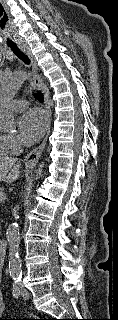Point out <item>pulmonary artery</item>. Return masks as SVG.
I'll return each instance as SVG.
<instances>
[{
	"label": "pulmonary artery",
	"mask_w": 118,
	"mask_h": 320,
	"mask_svg": "<svg viewBox=\"0 0 118 320\" xmlns=\"http://www.w3.org/2000/svg\"><path fill=\"white\" fill-rule=\"evenodd\" d=\"M11 106L15 111H21L27 107V102L25 100H13Z\"/></svg>",
	"instance_id": "1"
}]
</instances>
